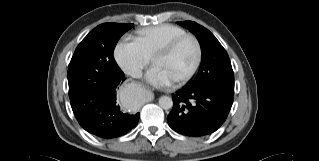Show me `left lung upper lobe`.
Instances as JSON below:
<instances>
[{"mask_svg":"<svg viewBox=\"0 0 319 161\" xmlns=\"http://www.w3.org/2000/svg\"><path fill=\"white\" fill-rule=\"evenodd\" d=\"M177 23L197 37L202 51L198 74L189 86L210 88L234 95V73L223 46L209 30L196 22Z\"/></svg>","mask_w":319,"mask_h":161,"instance_id":"5c2ea615","label":"left lung upper lobe"}]
</instances>
